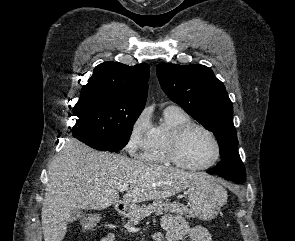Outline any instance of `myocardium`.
Here are the masks:
<instances>
[{
  "label": "myocardium",
  "instance_id": "f54148a6",
  "mask_svg": "<svg viewBox=\"0 0 295 241\" xmlns=\"http://www.w3.org/2000/svg\"><path fill=\"white\" fill-rule=\"evenodd\" d=\"M192 129H200L204 131L206 134L210 136V138L213 140L215 144V149H216L215 156L209 163L205 165H199V166L191 165L184 162L182 158L180 157L179 150H180L181 142L183 138L186 136V134ZM221 151H222L221 144L216 134L205 125H202L196 122H189L177 127L171 133L166 145V154L169 161L180 168L190 170V171H202V170L211 168L219 161L221 157Z\"/></svg>",
  "mask_w": 295,
  "mask_h": 241
}]
</instances>
